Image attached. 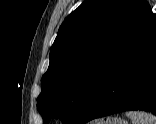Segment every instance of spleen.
Returning <instances> with one entry per match:
<instances>
[{
  "instance_id": "1",
  "label": "spleen",
  "mask_w": 156,
  "mask_h": 124,
  "mask_svg": "<svg viewBox=\"0 0 156 124\" xmlns=\"http://www.w3.org/2000/svg\"><path fill=\"white\" fill-rule=\"evenodd\" d=\"M126 116L132 120V124H156V117L146 112L128 111Z\"/></svg>"
}]
</instances>
